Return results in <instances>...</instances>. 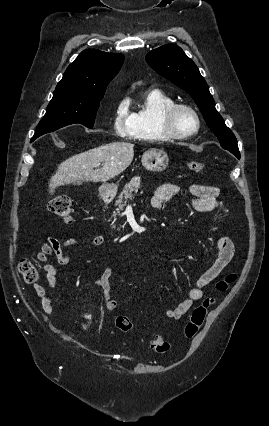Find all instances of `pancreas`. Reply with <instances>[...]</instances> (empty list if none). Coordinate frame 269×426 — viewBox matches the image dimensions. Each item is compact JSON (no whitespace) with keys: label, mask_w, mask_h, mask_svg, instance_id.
<instances>
[{"label":"pancreas","mask_w":269,"mask_h":426,"mask_svg":"<svg viewBox=\"0 0 269 426\" xmlns=\"http://www.w3.org/2000/svg\"><path fill=\"white\" fill-rule=\"evenodd\" d=\"M141 178L139 176L133 177L132 180L125 185L124 190L118 196V199L115 202L116 212H114V216L123 211L128 200H132L135 194L138 192L140 188ZM113 228L115 226L113 225Z\"/></svg>","instance_id":"pancreas-1"}]
</instances>
